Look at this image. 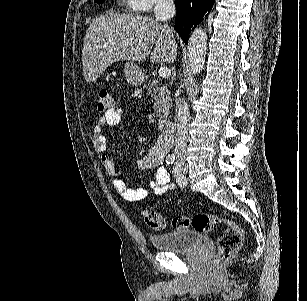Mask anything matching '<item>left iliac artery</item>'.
<instances>
[{
	"instance_id": "left-iliac-artery-1",
	"label": "left iliac artery",
	"mask_w": 307,
	"mask_h": 301,
	"mask_svg": "<svg viewBox=\"0 0 307 301\" xmlns=\"http://www.w3.org/2000/svg\"><path fill=\"white\" fill-rule=\"evenodd\" d=\"M173 174L176 178V181L178 182L179 185L185 184V178L182 175L181 172V164L179 162H176L174 167H173Z\"/></svg>"
}]
</instances>
